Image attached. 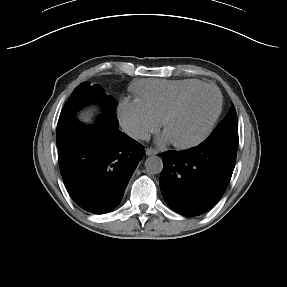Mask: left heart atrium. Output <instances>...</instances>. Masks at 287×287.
<instances>
[{"label": "left heart atrium", "mask_w": 287, "mask_h": 287, "mask_svg": "<svg viewBox=\"0 0 287 287\" xmlns=\"http://www.w3.org/2000/svg\"><path fill=\"white\" fill-rule=\"evenodd\" d=\"M161 141H162V142H170V141H172V140H171L170 137L165 133V134L162 136Z\"/></svg>", "instance_id": "1"}]
</instances>
